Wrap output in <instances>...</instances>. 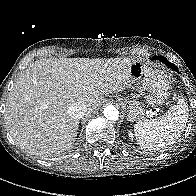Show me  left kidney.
I'll list each match as a JSON object with an SVG mask.
<instances>
[{"mask_svg":"<svg viewBox=\"0 0 196 196\" xmlns=\"http://www.w3.org/2000/svg\"><path fill=\"white\" fill-rule=\"evenodd\" d=\"M129 137L132 139L133 138V134H132V132L131 131H129Z\"/></svg>","mask_w":196,"mask_h":196,"instance_id":"left-kidney-1","label":"left kidney"}]
</instances>
